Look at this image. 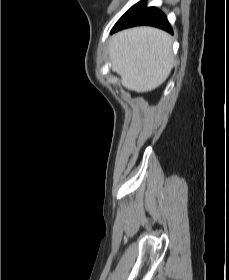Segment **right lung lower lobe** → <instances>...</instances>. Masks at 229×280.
Here are the masks:
<instances>
[{
  "label": "right lung lower lobe",
  "instance_id": "right-lung-lower-lobe-1",
  "mask_svg": "<svg viewBox=\"0 0 229 280\" xmlns=\"http://www.w3.org/2000/svg\"><path fill=\"white\" fill-rule=\"evenodd\" d=\"M150 25L161 28L168 32H173L166 16L155 7H146V1L143 0L131 7L115 24L111 33L124 28Z\"/></svg>",
  "mask_w": 229,
  "mask_h": 280
}]
</instances>
